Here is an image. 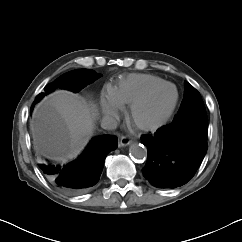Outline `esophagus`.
I'll use <instances>...</instances> for the list:
<instances>
[{"mask_svg":"<svg viewBox=\"0 0 242 242\" xmlns=\"http://www.w3.org/2000/svg\"><path fill=\"white\" fill-rule=\"evenodd\" d=\"M132 143V140L127 136H122L119 140V146H127Z\"/></svg>","mask_w":242,"mask_h":242,"instance_id":"1","label":"esophagus"}]
</instances>
